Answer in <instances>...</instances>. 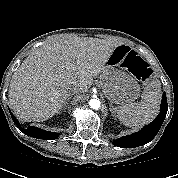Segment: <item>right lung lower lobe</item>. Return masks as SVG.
I'll return each instance as SVG.
<instances>
[{
  "label": "right lung lower lobe",
  "mask_w": 178,
  "mask_h": 178,
  "mask_svg": "<svg viewBox=\"0 0 178 178\" xmlns=\"http://www.w3.org/2000/svg\"><path fill=\"white\" fill-rule=\"evenodd\" d=\"M10 112V111H9ZM11 117L13 122L19 127V129L26 135L34 137V138H39V139H44V140H53L56 139L58 136V133L55 132H49L45 131L36 127H29L27 129L21 128L20 124L18 123L17 119L13 116V114L10 112Z\"/></svg>",
  "instance_id": "1"
}]
</instances>
